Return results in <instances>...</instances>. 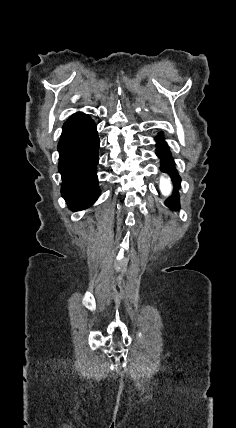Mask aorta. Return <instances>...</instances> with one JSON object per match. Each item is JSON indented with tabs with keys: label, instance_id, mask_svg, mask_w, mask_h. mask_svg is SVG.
Wrapping results in <instances>:
<instances>
[{
	"label": "aorta",
	"instance_id": "1",
	"mask_svg": "<svg viewBox=\"0 0 236 428\" xmlns=\"http://www.w3.org/2000/svg\"><path fill=\"white\" fill-rule=\"evenodd\" d=\"M160 191L164 196H168L172 191L171 179L169 177H160Z\"/></svg>",
	"mask_w": 236,
	"mask_h": 428
}]
</instances>
